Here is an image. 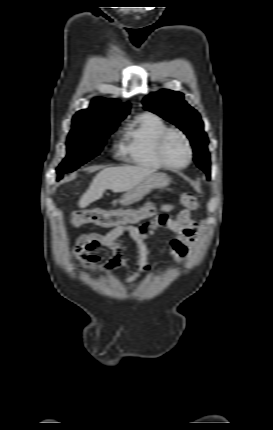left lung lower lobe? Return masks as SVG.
Here are the masks:
<instances>
[{
  "instance_id": "left-lung-lower-lobe-1",
  "label": "left lung lower lobe",
  "mask_w": 273,
  "mask_h": 430,
  "mask_svg": "<svg viewBox=\"0 0 273 430\" xmlns=\"http://www.w3.org/2000/svg\"><path fill=\"white\" fill-rule=\"evenodd\" d=\"M205 173H207L208 178H210V167L204 169Z\"/></svg>"
}]
</instances>
